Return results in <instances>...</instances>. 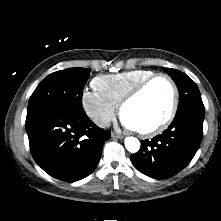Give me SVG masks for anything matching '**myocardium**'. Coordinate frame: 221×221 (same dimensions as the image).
I'll list each match as a JSON object with an SVG mask.
<instances>
[{"instance_id": "obj_1", "label": "myocardium", "mask_w": 221, "mask_h": 221, "mask_svg": "<svg viewBox=\"0 0 221 221\" xmlns=\"http://www.w3.org/2000/svg\"><path fill=\"white\" fill-rule=\"evenodd\" d=\"M158 79H164L170 85L172 91L171 105L166 117L156 126L145 130L134 129L135 132H137L142 137L156 136L162 133L172 123L179 105V91L173 78L165 73H155L136 85L123 97V99L119 103V112L122 116L125 106L135 100L138 96H140L150 84Z\"/></svg>"}]
</instances>
